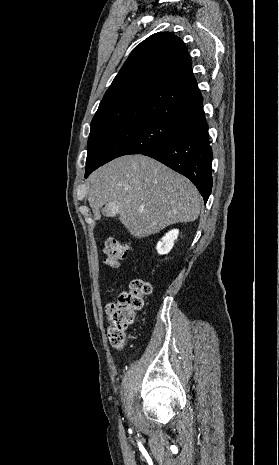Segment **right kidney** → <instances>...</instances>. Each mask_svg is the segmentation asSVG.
Listing matches in <instances>:
<instances>
[{"label":"right kidney","mask_w":279,"mask_h":465,"mask_svg":"<svg viewBox=\"0 0 279 465\" xmlns=\"http://www.w3.org/2000/svg\"><path fill=\"white\" fill-rule=\"evenodd\" d=\"M179 234L178 229H173L165 234L162 239L157 243L156 250L158 254H168L174 246V242L177 240Z\"/></svg>","instance_id":"1"}]
</instances>
